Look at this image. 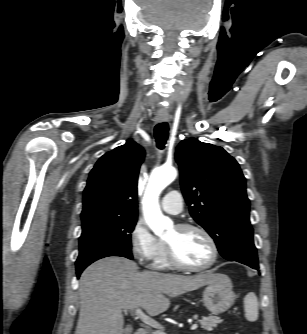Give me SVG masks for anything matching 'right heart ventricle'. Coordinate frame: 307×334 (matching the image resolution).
Masks as SVG:
<instances>
[{"instance_id":"right-heart-ventricle-1","label":"right heart ventricle","mask_w":307,"mask_h":334,"mask_svg":"<svg viewBox=\"0 0 307 334\" xmlns=\"http://www.w3.org/2000/svg\"><path fill=\"white\" fill-rule=\"evenodd\" d=\"M153 266L157 269H169L172 266L168 260L165 245L163 243L160 251L153 260Z\"/></svg>"}]
</instances>
